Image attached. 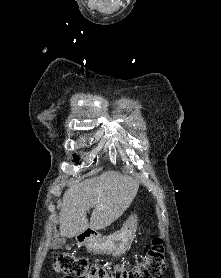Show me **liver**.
<instances>
[{"mask_svg":"<svg viewBox=\"0 0 221 278\" xmlns=\"http://www.w3.org/2000/svg\"><path fill=\"white\" fill-rule=\"evenodd\" d=\"M138 188L135 179L114 171L72 184L61 204V237L72 238L88 228L97 231L108 227L129 208ZM89 208H93L90 222Z\"/></svg>","mask_w":221,"mask_h":278,"instance_id":"1","label":"liver"}]
</instances>
